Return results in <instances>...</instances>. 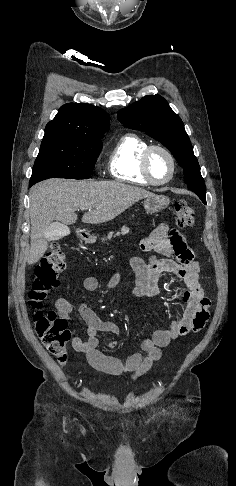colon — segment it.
<instances>
[{"label":"colon","mask_w":236,"mask_h":486,"mask_svg":"<svg viewBox=\"0 0 236 486\" xmlns=\"http://www.w3.org/2000/svg\"><path fill=\"white\" fill-rule=\"evenodd\" d=\"M175 221L181 228L194 224V211L184 200L174 205ZM65 256L59 245H52L35 269L28 294L30 305L36 310L34 327L47 350L60 361L66 358V345L70 339L68 322L55 312L43 313L40 309L48 294L59 286V274L65 269Z\"/></svg>","instance_id":"5ec220e1"}]
</instances>
